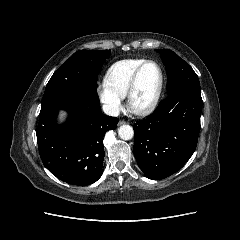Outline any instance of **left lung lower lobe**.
I'll use <instances>...</instances> for the list:
<instances>
[{
    "mask_svg": "<svg viewBox=\"0 0 240 240\" xmlns=\"http://www.w3.org/2000/svg\"><path fill=\"white\" fill-rule=\"evenodd\" d=\"M201 110L200 90L181 89L133 126L134 156L147 178L164 179L190 159L197 146Z\"/></svg>",
    "mask_w": 240,
    "mask_h": 240,
    "instance_id": "1",
    "label": "left lung lower lobe"
}]
</instances>
